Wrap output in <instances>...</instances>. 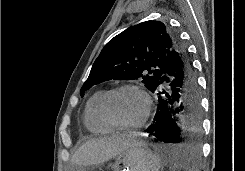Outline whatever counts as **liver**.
Instances as JSON below:
<instances>
[{
    "label": "liver",
    "mask_w": 245,
    "mask_h": 171,
    "mask_svg": "<svg viewBox=\"0 0 245 171\" xmlns=\"http://www.w3.org/2000/svg\"><path fill=\"white\" fill-rule=\"evenodd\" d=\"M134 133L115 134L110 137L90 139L82 144L71 158V164L88 166L101 164L115 158L133 146H144Z\"/></svg>",
    "instance_id": "liver-1"
}]
</instances>
